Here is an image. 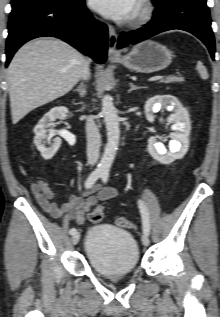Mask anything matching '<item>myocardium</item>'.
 I'll return each mask as SVG.
<instances>
[{
    "mask_svg": "<svg viewBox=\"0 0 220 317\" xmlns=\"http://www.w3.org/2000/svg\"><path fill=\"white\" fill-rule=\"evenodd\" d=\"M155 14V6L151 0H138L137 9L132 17V23L141 25L148 23Z\"/></svg>",
    "mask_w": 220,
    "mask_h": 317,
    "instance_id": "1",
    "label": "myocardium"
}]
</instances>
